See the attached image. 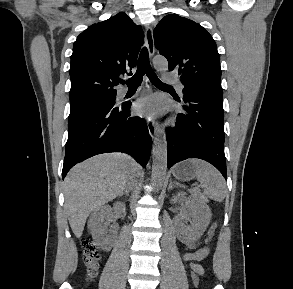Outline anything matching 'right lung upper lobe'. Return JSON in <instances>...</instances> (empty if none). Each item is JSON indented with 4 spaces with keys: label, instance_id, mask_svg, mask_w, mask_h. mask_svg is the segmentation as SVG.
<instances>
[{
    "label": "right lung upper lobe",
    "instance_id": "1",
    "mask_svg": "<svg viewBox=\"0 0 293 289\" xmlns=\"http://www.w3.org/2000/svg\"><path fill=\"white\" fill-rule=\"evenodd\" d=\"M143 39L142 28L123 12L83 31L73 45L70 102L116 94L119 76L131 75L137 64Z\"/></svg>",
    "mask_w": 293,
    "mask_h": 289
}]
</instances>
